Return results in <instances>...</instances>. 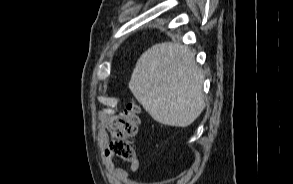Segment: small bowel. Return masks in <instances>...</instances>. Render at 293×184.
<instances>
[{"mask_svg":"<svg viewBox=\"0 0 293 184\" xmlns=\"http://www.w3.org/2000/svg\"><path fill=\"white\" fill-rule=\"evenodd\" d=\"M103 165L110 175L112 184H128V173L123 168L117 167L110 156L103 158ZM130 169L136 171L138 169V162L130 164Z\"/></svg>","mask_w":293,"mask_h":184,"instance_id":"obj_1","label":"small bowel"}]
</instances>
